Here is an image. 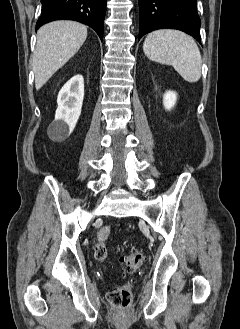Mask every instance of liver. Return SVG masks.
I'll return each mask as SVG.
<instances>
[{"mask_svg":"<svg viewBox=\"0 0 240 329\" xmlns=\"http://www.w3.org/2000/svg\"><path fill=\"white\" fill-rule=\"evenodd\" d=\"M86 38V26L74 21H54L38 30L33 55L37 90L75 55Z\"/></svg>","mask_w":240,"mask_h":329,"instance_id":"liver-1","label":"liver"}]
</instances>
